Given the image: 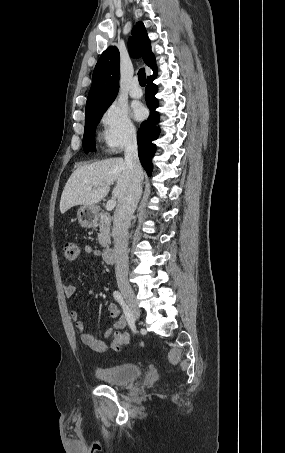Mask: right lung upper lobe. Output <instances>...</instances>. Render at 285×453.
<instances>
[{
    "mask_svg": "<svg viewBox=\"0 0 285 453\" xmlns=\"http://www.w3.org/2000/svg\"><path fill=\"white\" fill-rule=\"evenodd\" d=\"M132 57H142L144 62L157 71L150 40L142 22H138L128 41ZM120 54L115 46L108 47L98 60L92 77V85L86 102V114L109 106L117 96L119 88Z\"/></svg>",
    "mask_w": 285,
    "mask_h": 453,
    "instance_id": "1",
    "label": "right lung upper lobe"
}]
</instances>
